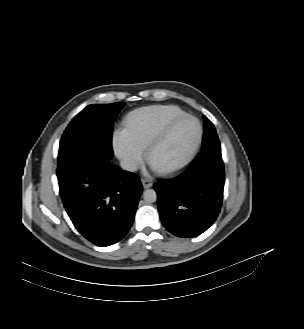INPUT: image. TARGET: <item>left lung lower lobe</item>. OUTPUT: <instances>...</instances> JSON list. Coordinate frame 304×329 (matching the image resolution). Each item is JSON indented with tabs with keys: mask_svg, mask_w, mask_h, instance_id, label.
<instances>
[{
	"mask_svg": "<svg viewBox=\"0 0 304 329\" xmlns=\"http://www.w3.org/2000/svg\"><path fill=\"white\" fill-rule=\"evenodd\" d=\"M224 181V164L216 136L202 147L184 173L154 185L160 218L166 229L183 238L206 231L220 212Z\"/></svg>",
	"mask_w": 304,
	"mask_h": 329,
	"instance_id": "0a47b994",
	"label": "left lung lower lobe"
}]
</instances>
